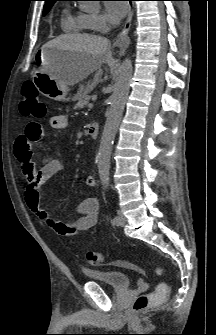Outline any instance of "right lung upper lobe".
Masks as SVG:
<instances>
[{"instance_id":"right-lung-upper-lobe-1","label":"right lung upper lobe","mask_w":216,"mask_h":335,"mask_svg":"<svg viewBox=\"0 0 216 335\" xmlns=\"http://www.w3.org/2000/svg\"><path fill=\"white\" fill-rule=\"evenodd\" d=\"M45 1V6L46 5H53V3L55 2V1H57V0H44Z\"/></svg>"}]
</instances>
